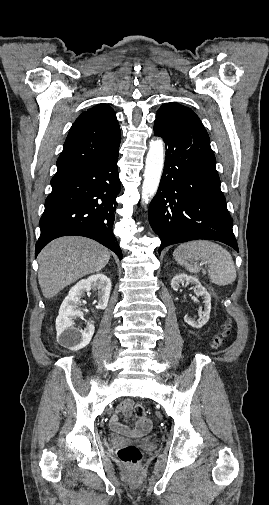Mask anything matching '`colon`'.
<instances>
[{
  "mask_svg": "<svg viewBox=\"0 0 269 505\" xmlns=\"http://www.w3.org/2000/svg\"><path fill=\"white\" fill-rule=\"evenodd\" d=\"M230 327L231 326H230L229 322H226L224 324L223 332L221 334H219L218 336H216L215 339L213 340L212 347L214 349L220 348L225 344V342L230 334ZM134 414L139 419L144 418L146 415L145 408L141 404H136L134 406ZM117 455H118L119 459L122 460L123 462L131 463V464L138 463L142 457L141 451L135 445H126V446L121 447L118 450Z\"/></svg>",
  "mask_w": 269,
  "mask_h": 505,
  "instance_id": "obj_1",
  "label": "colon"
}]
</instances>
